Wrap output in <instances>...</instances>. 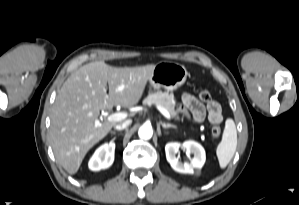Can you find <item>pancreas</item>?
Here are the masks:
<instances>
[{"label": "pancreas", "instance_id": "cf45deb5", "mask_svg": "<svg viewBox=\"0 0 299 205\" xmlns=\"http://www.w3.org/2000/svg\"><path fill=\"white\" fill-rule=\"evenodd\" d=\"M144 105L156 104L166 109L172 118L179 120L178 112L175 109L176 101L172 93L157 91L149 94L143 101Z\"/></svg>", "mask_w": 299, "mask_h": 205}]
</instances>
